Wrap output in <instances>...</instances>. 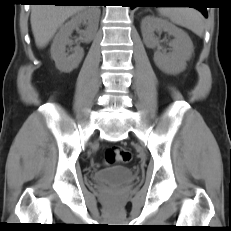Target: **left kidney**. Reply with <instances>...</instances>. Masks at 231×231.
Instances as JSON below:
<instances>
[{"instance_id":"left-kidney-1","label":"left kidney","mask_w":231,"mask_h":231,"mask_svg":"<svg viewBox=\"0 0 231 231\" xmlns=\"http://www.w3.org/2000/svg\"><path fill=\"white\" fill-rule=\"evenodd\" d=\"M141 31L143 41L148 48H158L159 39L155 31H165L172 35L174 39L169 43L172 52L164 54L160 51L154 53L155 64L168 74H178L186 67V61L190 59L193 52V43L188 34L168 22L167 20L147 16L142 20Z\"/></svg>"}]
</instances>
